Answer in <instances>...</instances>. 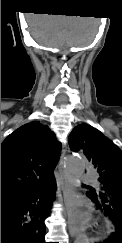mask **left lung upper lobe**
I'll use <instances>...</instances> for the list:
<instances>
[{
  "mask_svg": "<svg viewBox=\"0 0 122 243\" xmlns=\"http://www.w3.org/2000/svg\"><path fill=\"white\" fill-rule=\"evenodd\" d=\"M69 146L73 152L81 151L85 154L99 173V181L122 176V151L96 128L87 124L76 126L69 135ZM93 192L105 196L102 185L99 189H93ZM112 215L122 219V202Z\"/></svg>",
  "mask_w": 122,
  "mask_h": 243,
  "instance_id": "left-lung-upper-lobe-1",
  "label": "left lung upper lobe"
}]
</instances>
